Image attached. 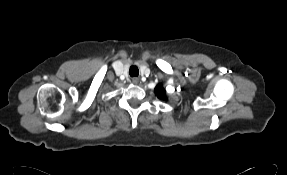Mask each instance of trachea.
Wrapping results in <instances>:
<instances>
[{
  "instance_id": "1",
  "label": "trachea",
  "mask_w": 287,
  "mask_h": 175,
  "mask_svg": "<svg viewBox=\"0 0 287 175\" xmlns=\"http://www.w3.org/2000/svg\"><path fill=\"white\" fill-rule=\"evenodd\" d=\"M130 76H138L139 74V70L136 66H131L130 70H129Z\"/></svg>"
}]
</instances>
